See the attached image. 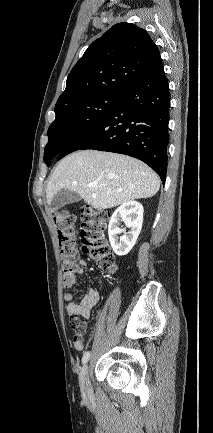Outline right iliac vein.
<instances>
[{"instance_id":"1","label":"right iliac vein","mask_w":213,"mask_h":433,"mask_svg":"<svg viewBox=\"0 0 213 433\" xmlns=\"http://www.w3.org/2000/svg\"><path fill=\"white\" fill-rule=\"evenodd\" d=\"M79 383H80V389H81L82 395L87 399L91 398L92 397V388H91V383H90V379H89L88 365H85L82 368V371L80 373Z\"/></svg>"}]
</instances>
